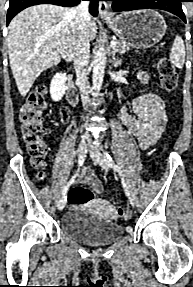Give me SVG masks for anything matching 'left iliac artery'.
<instances>
[{"label":"left iliac artery","mask_w":193,"mask_h":287,"mask_svg":"<svg viewBox=\"0 0 193 287\" xmlns=\"http://www.w3.org/2000/svg\"><path fill=\"white\" fill-rule=\"evenodd\" d=\"M104 158L108 162V164L112 167V169L114 171L118 172V174L121 176V180H122V184H123L125 193L130 198V192H129L128 187L125 183L121 168L113 162L112 158L110 157V155L107 152H104Z\"/></svg>","instance_id":"44dca946"}]
</instances>
